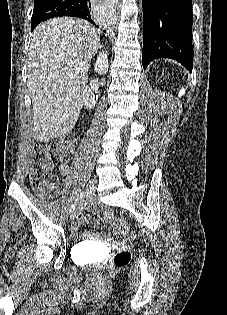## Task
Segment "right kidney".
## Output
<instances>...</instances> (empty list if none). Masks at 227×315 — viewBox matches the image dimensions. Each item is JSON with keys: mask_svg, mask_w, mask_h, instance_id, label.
Listing matches in <instances>:
<instances>
[{"mask_svg": "<svg viewBox=\"0 0 227 315\" xmlns=\"http://www.w3.org/2000/svg\"><path fill=\"white\" fill-rule=\"evenodd\" d=\"M95 70L99 74H104L107 72V70H108V56H107L106 52L103 51L98 55L97 61L95 64ZM83 101H84V105L88 109H92L96 105L97 96L94 95L93 91L87 87L86 90L84 91V94H83Z\"/></svg>", "mask_w": 227, "mask_h": 315, "instance_id": "1", "label": "right kidney"}]
</instances>
